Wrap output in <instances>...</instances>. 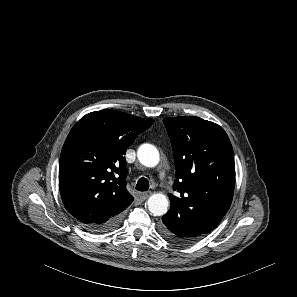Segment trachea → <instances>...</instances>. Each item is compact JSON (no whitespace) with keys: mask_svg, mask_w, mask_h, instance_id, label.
<instances>
[{"mask_svg":"<svg viewBox=\"0 0 297 297\" xmlns=\"http://www.w3.org/2000/svg\"><path fill=\"white\" fill-rule=\"evenodd\" d=\"M149 189V181L142 177L137 181L136 190L138 191H146Z\"/></svg>","mask_w":297,"mask_h":297,"instance_id":"1","label":"trachea"}]
</instances>
